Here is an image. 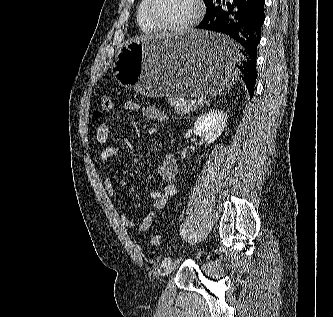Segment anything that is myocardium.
Instances as JSON below:
<instances>
[{"instance_id": "f54148a6", "label": "myocardium", "mask_w": 333, "mask_h": 317, "mask_svg": "<svg viewBox=\"0 0 333 317\" xmlns=\"http://www.w3.org/2000/svg\"><path fill=\"white\" fill-rule=\"evenodd\" d=\"M194 10L191 18L182 25H168L160 22L152 13V3L153 0H145V15L149 22L158 30L166 31L175 34H183L192 30L195 25L198 23L202 11L203 3L202 0H193Z\"/></svg>"}]
</instances>
